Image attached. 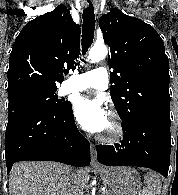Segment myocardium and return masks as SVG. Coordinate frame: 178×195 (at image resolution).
<instances>
[{
    "instance_id": "1",
    "label": "myocardium",
    "mask_w": 178,
    "mask_h": 195,
    "mask_svg": "<svg viewBox=\"0 0 178 195\" xmlns=\"http://www.w3.org/2000/svg\"><path fill=\"white\" fill-rule=\"evenodd\" d=\"M110 119L112 121V132L109 135H99L98 140L107 145L119 143L125 135L124 125L117 113L111 112Z\"/></svg>"
}]
</instances>
